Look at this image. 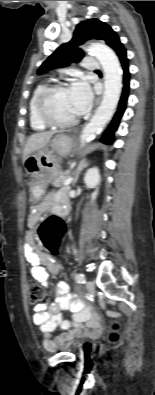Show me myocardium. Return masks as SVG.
<instances>
[{
	"label": "myocardium",
	"mask_w": 155,
	"mask_h": 395,
	"mask_svg": "<svg viewBox=\"0 0 155 395\" xmlns=\"http://www.w3.org/2000/svg\"><path fill=\"white\" fill-rule=\"evenodd\" d=\"M66 83H55L46 86L38 95L36 100V113L38 118L46 125L52 127L67 128L75 125L78 122V118H74L70 121H60L51 116L48 110V103L50 98L56 92L68 89Z\"/></svg>",
	"instance_id": "myocardium-1"
}]
</instances>
